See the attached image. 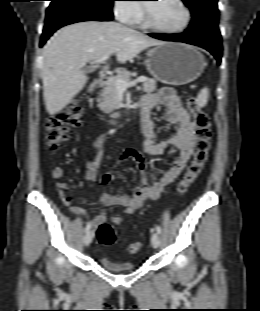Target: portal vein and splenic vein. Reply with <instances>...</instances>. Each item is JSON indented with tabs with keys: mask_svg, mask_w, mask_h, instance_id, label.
<instances>
[{
	"mask_svg": "<svg viewBox=\"0 0 260 311\" xmlns=\"http://www.w3.org/2000/svg\"><path fill=\"white\" fill-rule=\"evenodd\" d=\"M108 59H109V55H105L102 58H100L98 60H95L92 63H105ZM145 81H146V77H144V76H140V77H138L137 79H135L133 81H125V80H122V79H118L116 81V87H117V89L119 91H124L127 88H129V87L135 86L137 83L145 82Z\"/></svg>",
	"mask_w": 260,
	"mask_h": 311,
	"instance_id": "18ae733b",
	"label": "portal vein and splenic vein"
}]
</instances>
